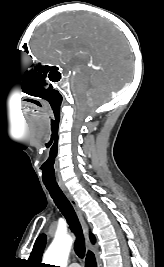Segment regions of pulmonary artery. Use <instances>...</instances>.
Segmentation results:
<instances>
[{
  "label": "pulmonary artery",
  "instance_id": "obj_1",
  "mask_svg": "<svg viewBox=\"0 0 164 267\" xmlns=\"http://www.w3.org/2000/svg\"><path fill=\"white\" fill-rule=\"evenodd\" d=\"M69 267H80V265L78 263H72Z\"/></svg>",
  "mask_w": 164,
  "mask_h": 267
}]
</instances>
